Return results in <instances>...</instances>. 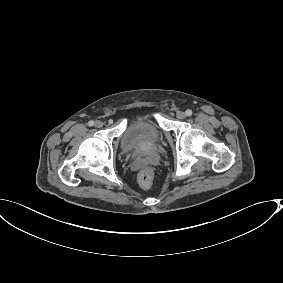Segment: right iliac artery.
<instances>
[{"label": "right iliac artery", "instance_id": "82829eb1", "mask_svg": "<svg viewBox=\"0 0 283 283\" xmlns=\"http://www.w3.org/2000/svg\"><path fill=\"white\" fill-rule=\"evenodd\" d=\"M88 125H89V126H93V125H94V121H92V120L89 121V122H88Z\"/></svg>", "mask_w": 283, "mask_h": 283}]
</instances>
